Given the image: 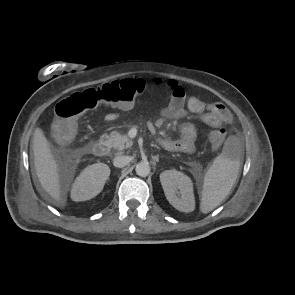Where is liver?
<instances>
[{"label":"liver","mask_w":295,"mask_h":295,"mask_svg":"<svg viewBox=\"0 0 295 295\" xmlns=\"http://www.w3.org/2000/svg\"><path fill=\"white\" fill-rule=\"evenodd\" d=\"M33 153L36 175L42 188L55 202L64 205L59 165L41 128H36L33 135Z\"/></svg>","instance_id":"1"}]
</instances>
